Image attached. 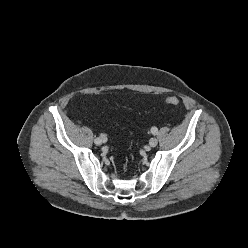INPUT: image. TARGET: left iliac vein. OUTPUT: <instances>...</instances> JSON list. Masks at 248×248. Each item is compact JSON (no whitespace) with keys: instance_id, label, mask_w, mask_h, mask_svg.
<instances>
[{"instance_id":"1","label":"left iliac vein","mask_w":248,"mask_h":248,"mask_svg":"<svg viewBox=\"0 0 248 248\" xmlns=\"http://www.w3.org/2000/svg\"><path fill=\"white\" fill-rule=\"evenodd\" d=\"M157 144H158L157 138L153 137V138H151V139L149 140V145H150L151 147H155Z\"/></svg>"}]
</instances>
